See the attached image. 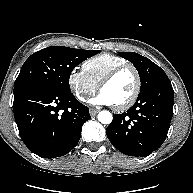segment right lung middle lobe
Listing matches in <instances>:
<instances>
[{
  "label": "right lung middle lobe",
  "mask_w": 193,
  "mask_h": 193,
  "mask_svg": "<svg viewBox=\"0 0 193 193\" xmlns=\"http://www.w3.org/2000/svg\"><path fill=\"white\" fill-rule=\"evenodd\" d=\"M99 53L96 50L51 46L32 54L23 64L14 92L34 85H47L70 92L69 77L81 62Z\"/></svg>",
  "instance_id": "right-lung-middle-lobe-1"
}]
</instances>
